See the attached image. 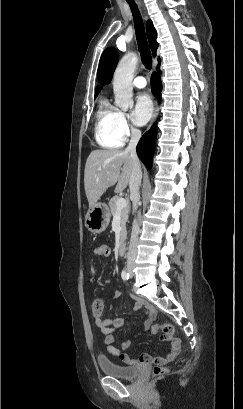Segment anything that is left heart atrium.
Segmentation results:
<instances>
[{"label": "left heart atrium", "instance_id": "obj_1", "mask_svg": "<svg viewBox=\"0 0 243 409\" xmlns=\"http://www.w3.org/2000/svg\"><path fill=\"white\" fill-rule=\"evenodd\" d=\"M153 113V104L147 93H140L136 96L134 108L131 113L134 124L145 125Z\"/></svg>", "mask_w": 243, "mask_h": 409}]
</instances>
